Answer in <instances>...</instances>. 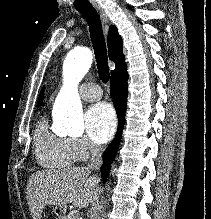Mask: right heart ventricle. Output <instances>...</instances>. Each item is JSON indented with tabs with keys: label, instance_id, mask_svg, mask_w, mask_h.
Here are the masks:
<instances>
[{
	"label": "right heart ventricle",
	"instance_id": "e07e8e85",
	"mask_svg": "<svg viewBox=\"0 0 211 219\" xmlns=\"http://www.w3.org/2000/svg\"><path fill=\"white\" fill-rule=\"evenodd\" d=\"M33 144L37 162L43 167H69L76 161L66 139L51 132L44 117L37 122Z\"/></svg>",
	"mask_w": 211,
	"mask_h": 219
}]
</instances>
